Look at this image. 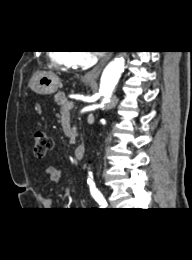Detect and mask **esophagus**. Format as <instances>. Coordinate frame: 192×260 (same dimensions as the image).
<instances>
[{
    "instance_id": "1",
    "label": "esophagus",
    "mask_w": 192,
    "mask_h": 260,
    "mask_svg": "<svg viewBox=\"0 0 192 260\" xmlns=\"http://www.w3.org/2000/svg\"><path fill=\"white\" fill-rule=\"evenodd\" d=\"M111 56H112L111 53L107 54L92 70H90L89 72H87L84 75V79H86V80L97 79L99 77L101 71L103 70L104 66L111 58Z\"/></svg>"
}]
</instances>
